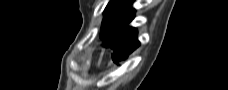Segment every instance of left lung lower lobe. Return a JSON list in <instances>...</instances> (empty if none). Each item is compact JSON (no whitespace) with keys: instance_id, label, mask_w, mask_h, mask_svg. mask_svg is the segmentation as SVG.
Here are the masks:
<instances>
[{"instance_id":"1","label":"left lung lower lobe","mask_w":228,"mask_h":90,"mask_svg":"<svg viewBox=\"0 0 228 90\" xmlns=\"http://www.w3.org/2000/svg\"><path fill=\"white\" fill-rule=\"evenodd\" d=\"M134 16V11L121 12L117 23L105 33L100 34L104 46L113 49L112 60L117 64L126 59L140 45L137 40V30L129 26Z\"/></svg>"}]
</instances>
